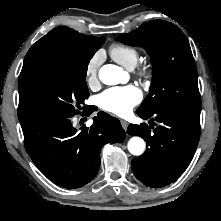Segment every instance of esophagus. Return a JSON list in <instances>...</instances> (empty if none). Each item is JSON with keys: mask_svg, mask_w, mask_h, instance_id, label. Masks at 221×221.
Segmentation results:
<instances>
[{"mask_svg": "<svg viewBox=\"0 0 221 221\" xmlns=\"http://www.w3.org/2000/svg\"><path fill=\"white\" fill-rule=\"evenodd\" d=\"M121 125L124 128V130H127V127H128V122L127 121L121 120Z\"/></svg>", "mask_w": 221, "mask_h": 221, "instance_id": "esophagus-1", "label": "esophagus"}]
</instances>
